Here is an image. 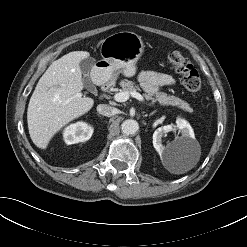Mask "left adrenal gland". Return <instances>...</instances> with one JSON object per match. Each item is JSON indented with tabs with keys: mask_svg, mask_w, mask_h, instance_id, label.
<instances>
[{
	"mask_svg": "<svg viewBox=\"0 0 247 247\" xmlns=\"http://www.w3.org/2000/svg\"><path fill=\"white\" fill-rule=\"evenodd\" d=\"M156 113V111H153L152 113H150V115L149 116H152L153 114H155Z\"/></svg>",
	"mask_w": 247,
	"mask_h": 247,
	"instance_id": "1",
	"label": "left adrenal gland"
}]
</instances>
